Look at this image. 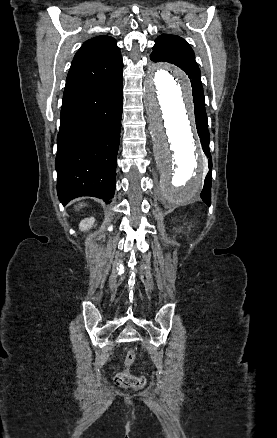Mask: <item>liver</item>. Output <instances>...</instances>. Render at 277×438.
<instances>
[{
	"mask_svg": "<svg viewBox=\"0 0 277 438\" xmlns=\"http://www.w3.org/2000/svg\"><path fill=\"white\" fill-rule=\"evenodd\" d=\"M83 204H78V206H76V210L77 208H82Z\"/></svg>",
	"mask_w": 277,
	"mask_h": 438,
	"instance_id": "obj_1",
	"label": "liver"
}]
</instances>
